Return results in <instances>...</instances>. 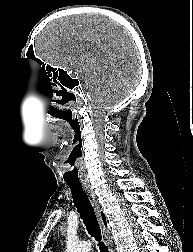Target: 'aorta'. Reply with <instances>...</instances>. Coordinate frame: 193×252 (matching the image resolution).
<instances>
[{
	"label": "aorta",
	"mask_w": 193,
	"mask_h": 252,
	"mask_svg": "<svg viewBox=\"0 0 193 252\" xmlns=\"http://www.w3.org/2000/svg\"><path fill=\"white\" fill-rule=\"evenodd\" d=\"M90 242H79L78 240H69L65 252H90Z\"/></svg>",
	"instance_id": "aorta-1"
}]
</instances>
